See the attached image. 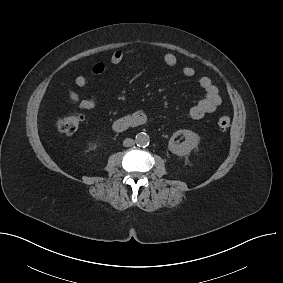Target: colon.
<instances>
[{
    "mask_svg": "<svg viewBox=\"0 0 283 283\" xmlns=\"http://www.w3.org/2000/svg\"><path fill=\"white\" fill-rule=\"evenodd\" d=\"M82 121V117L79 114H67L60 116L57 119L56 126L59 131L65 134L74 133L80 123ZM231 125V118L228 115H222L218 119V126L221 129H227Z\"/></svg>",
    "mask_w": 283,
    "mask_h": 283,
    "instance_id": "1",
    "label": "colon"
}]
</instances>
